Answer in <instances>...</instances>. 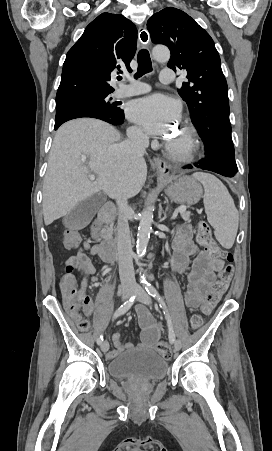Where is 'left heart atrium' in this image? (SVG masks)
<instances>
[{
	"label": "left heart atrium",
	"instance_id": "39dd6f15",
	"mask_svg": "<svg viewBox=\"0 0 272 451\" xmlns=\"http://www.w3.org/2000/svg\"><path fill=\"white\" fill-rule=\"evenodd\" d=\"M131 116L152 135H166L180 117L178 104L169 97L155 95L138 101Z\"/></svg>",
	"mask_w": 272,
	"mask_h": 451
}]
</instances>
